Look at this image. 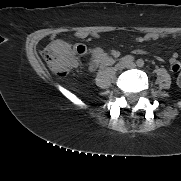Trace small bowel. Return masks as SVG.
<instances>
[{
  "label": "small bowel",
  "mask_w": 181,
  "mask_h": 181,
  "mask_svg": "<svg viewBox=\"0 0 181 181\" xmlns=\"http://www.w3.org/2000/svg\"><path fill=\"white\" fill-rule=\"evenodd\" d=\"M88 36H92L94 38H98V34L97 33H91V34H88V33H85V32H80V33H77V37L79 38H86ZM181 34L179 33H174L172 34V37L173 38H177V37H180ZM166 37V34L164 33H149V34H144V35H141V36H138L135 38V40L139 43H144V42H148V41H152V40H158L160 38H164ZM52 45L53 46H56V47H59V48H69V44L61 39H53L52 41ZM135 54H145L146 51L142 50V49H136L134 51ZM111 56L113 57H117L119 55V52L117 50H112L110 52ZM170 68H171V71L174 72V73H177L178 71L181 70V62L179 61L178 59V54L177 53H174L170 60Z\"/></svg>",
  "instance_id": "small-bowel-1"
}]
</instances>
